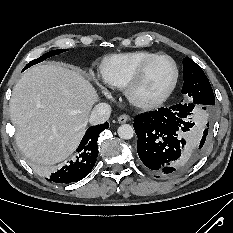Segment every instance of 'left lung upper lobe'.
Instances as JSON below:
<instances>
[{"label": "left lung upper lobe", "instance_id": "1", "mask_svg": "<svg viewBox=\"0 0 233 233\" xmlns=\"http://www.w3.org/2000/svg\"><path fill=\"white\" fill-rule=\"evenodd\" d=\"M182 93L193 98V104L214 105V93L204 71L192 59H183Z\"/></svg>", "mask_w": 233, "mask_h": 233}]
</instances>
